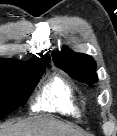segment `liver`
<instances>
[{"instance_id":"1","label":"liver","mask_w":117,"mask_h":136,"mask_svg":"<svg viewBox=\"0 0 117 136\" xmlns=\"http://www.w3.org/2000/svg\"><path fill=\"white\" fill-rule=\"evenodd\" d=\"M0 136H87L55 120L36 117L15 124H5Z\"/></svg>"}]
</instances>
